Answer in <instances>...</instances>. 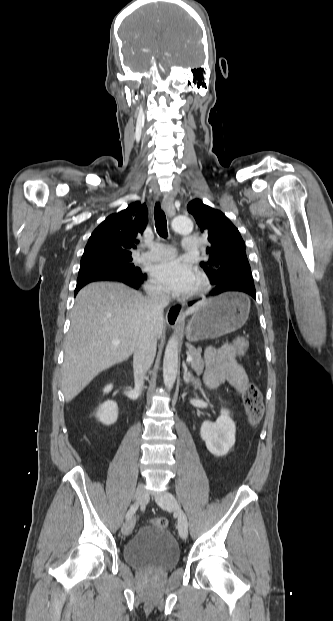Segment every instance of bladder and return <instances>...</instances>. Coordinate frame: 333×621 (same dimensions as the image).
<instances>
[{
    "label": "bladder",
    "mask_w": 333,
    "mask_h": 621,
    "mask_svg": "<svg viewBox=\"0 0 333 621\" xmlns=\"http://www.w3.org/2000/svg\"><path fill=\"white\" fill-rule=\"evenodd\" d=\"M123 558L141 570L165 571L177 564L179 547L166 528L143 526L125 544Z\"/></svg>",
    "instance_id": "1"
}]
</instances>
